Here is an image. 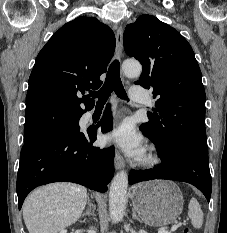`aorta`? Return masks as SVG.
Instances as JSON below:
<instances>
[{
    "label": "aorta",
    "mask_w": 227,
    "mask_h": 233,
    "mask_svg": "<svg viewBox=\"0 0 227 233\" xmlns=\"http://www.w3.org/2000/svg\"><path fill=\"white\" fill-rule=\"evenodd\" d=\"M124 74L129 78L138 77L142 72V66L137 61L127 60L122 64ZM128 175L122 170L117 173L111 183L109 191V211L113 222L123 218L127 202Z\"/></svg>",
    "instance_id": "762f6f07"
}]
</instances>
